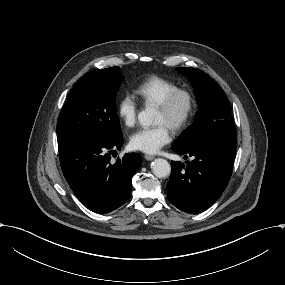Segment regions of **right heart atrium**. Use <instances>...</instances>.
Masks as SVG:
<instances>
[{
  "mask_svg": "<svg viewBox=\"0 0 285 285\" xmlns=\"http://www.w3.org/2000/svg\"><path fill=\"white\" fill-rule=\"evenodd\" d=\"M140 110V102L132 92H127L119 101L118 112L126 126L135 125Z\"/></svg>",
  "mask_w": 285,
  "mask_h": 285,
  "instance_id": "d8ad5b80",
  "label": "right heart atrium"
}]
</instances>
